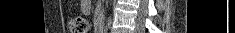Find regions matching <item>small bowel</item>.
Returning a JSON list of instances; mask_svg holds the SVG:
<instances>
[{
    "label": "small bowel",
    "mask_w": 235,
    "mask_h": 33,
    "mask_svg": "<svg viewBox=\"0 0 235 33\" xmlns=\"http://www.w3.org/2000/svg\"><path fill=\"white\" fill-rule=\"evenodd\" d=\"M87 7H88V5H87V4H84V5H83V9H84V10H86V9H87Z\"/></svg>",
    "instance_id": "1"
}]
</instances>
